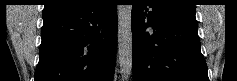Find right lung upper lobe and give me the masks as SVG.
Masks as SVG:
<instances>
[{"label": "right lung upper lobe", "mask_w": 237, "mask_h": 81, "mask_svg": "<svg viewBox=\"0 0 237 81\" xmlns=\"http://www.w3.org/2000/svg\"><path fill=\"white\" fill-rule=\"evenodd\" d=\"M82 1L83 0H47V3L44 5L43 15L71 9Z\"/></svg>", "instance_id": "right-lung-upper-lobe-1"}]
</instances>
